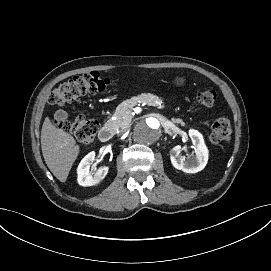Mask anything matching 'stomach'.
<instances>
[{"mask_svg": "<svg viewBox=\"0 0 271 271\" xmlns=\"http://www.w3.org/2000/svg\"><path fill=\"white\" fill-rule=\"evenodd\" d=\"M186 82V78L182 76L176 77L173 81H171V84L176 85L178 87H182Z\"/></svg>", "mask_w": 271, "mask_h": 271, "instance_id": "1", "label": "stomach"}]
</instances>
